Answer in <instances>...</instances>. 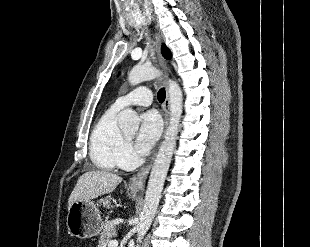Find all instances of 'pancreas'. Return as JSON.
I'll use <instances>...</instances> for the list:
<instances>
[{
    "mask_svg": "<svg viewBox=\"0 0 310 247\" xmlns=\"http://www.w3.org/2000/svg\"><path fill=\"white\" fill-rule=\"evenodd\" d=\"M116 235V228L113 221H106L102 232L100 233L99 246L106 247L111 241L112 236Z\"/></svg>",
    "mask_w": 310,
    "mask_h": 247,
    "instance_id": "cf45deb5",
    "label": "pancreas"
}]
</instances>
